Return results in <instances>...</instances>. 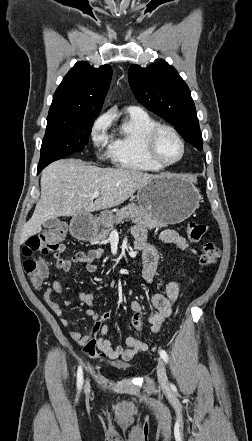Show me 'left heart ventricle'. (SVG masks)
<instances>
[{"label":"left heart ventricle","instance_id":"b2bd125f","mask_svg":"<svg viewBox=\"0 0 252 441\" xmlns=\"http://www.w3.org/2000/svg\"><path fill=\"white\" fill-rule=\"evenodd\" d=\"M156 153L164 162H170L180 156L181 145L172 134L163 131L156 140Z\"/></svg>","mask_w":252,"mask_h":441}]
</instances>
